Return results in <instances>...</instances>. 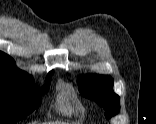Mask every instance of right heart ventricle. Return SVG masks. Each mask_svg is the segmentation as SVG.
Segmentation results:
<instances>
[{"label":"right heart ventricle","mask_w":156,"mask_h":124,"mask_svg":"<svg viewBox=\"0 0 156 124\" xmlns=\"http://www.w3.org/2000/svg\"><path fill=\"white\" fill-rule=\"evenodd\" d=\"M56 108L57 111L63 115H72L74 112L68 94L64 89H61L57 96Z\"/></svg>","instance_id":"1"}]
</instances>
